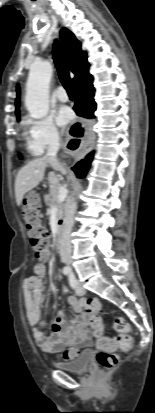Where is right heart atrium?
I'll return each mask as SVG.
<instances>
[{
    "mask_svg": "<svg viewBox=\"0 0 155 413\" xmlns=\"http://www.w3.org/2000/svg\"><path fill=\"white\" fill-rule=\"evenodd\" d=\"M26 124L28 138L36 154L43 153L59 141L60 132L50 116L28 119Z\"/></svg>",
    "mask_w": 155,
    "mask_h": 413,
    "instance_id": "d8ad5b80",
    "label": "right heart atrium"
}]
</instances>
